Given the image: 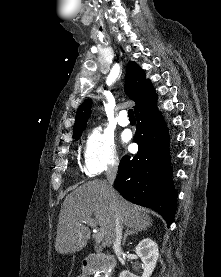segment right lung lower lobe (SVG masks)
Listing matches in <instances>:
<instances>
[{
	"mask_svg": "<svg viewBox=\"0 0 221 277\" xmlns=\"http://www.w3.org/2000/svg\"><path fill=\"white\" fill-rule=\"evenodd\" d=\"M156 102L157 95L135 112L138 154L122 158L114 187L125 199L159 212L169 227L177 194L172 180L169 134Z\"/></svg>",
	"mask_w": 221,
	"mask_h": 277,
	"instance_id": "right-lung-lower-lobe-1",
	"label": "right lung lower lobe"
}]
</instances>
